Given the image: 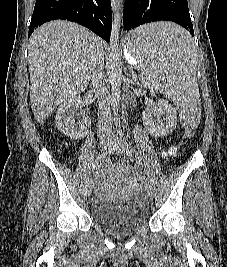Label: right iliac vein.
<instances>
[{"label": "right iliac vein", "instance_id": "obj_1", "mask_svg": "<svg viewBox=\"0 0 227 267\" xmlns=\"http://www.w3.org/2000/svg\"><path fill=\"white\" fill-rule=\"evenodd\" d=\"M100 148L102 151H106L110 147V140L107 136H101L100 137ZM92 188H93V181L90 182L88 188H87V196L89 197L92 194Z\"/></svg>", "mask_w": 227, "mask_h": 267}]
</instances>
